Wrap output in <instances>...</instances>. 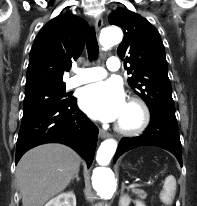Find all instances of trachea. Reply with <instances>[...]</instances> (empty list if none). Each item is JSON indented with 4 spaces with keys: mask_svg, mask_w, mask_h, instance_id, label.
<instances>
[{
    "mask_svg": "<svg viewBox=\"0 0 197 206\" xmlns=\"http://www.w3.org/2000/svg\"><path fill=\"white\" fill-rule=\"evenodd\" d=\"M86 47L89 59L95 60L98 56V42L93 28L87 34Z\"/></svg>",
    "mask_w": 197,
    "mask_h": 206,
    "instance_id": "1",
    "label": "trachea"
}]
</instances>
